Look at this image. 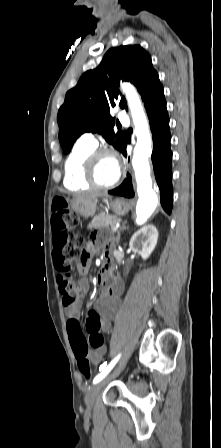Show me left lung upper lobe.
I'll list each match as a JSON object with an SVG mask.
<instances>
[{"label": "left lung upper lobe", "mask_w": 221, "mask_h": 448, "mask_svg": "<svg viewBox=\"0 0 221 448\" xmlns=\"http://www.w3.org/2000/svg\"><path fill=\"white\" fill-rule=\"evenodd\" d=\"M133 83L142 100L162 87L150 55L139 45L111 48L99 66L85 72L77 85L69 90L58 111L59 141L68 153L76 139L85 132H98L108 143L121 150L125 143L122 132L114 133L110 107L117 103L127 109L119 92L120 81Z\"/></svg>", "instance_id": "left-lung-upper-lobe-1"}]
</instances>
